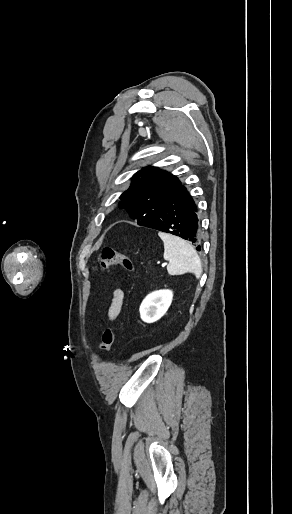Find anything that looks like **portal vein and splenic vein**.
<instances>
[{
    "mask_svg": "<svg viewBox=\"0 0 292 514\" xmlns=\"http://www.w3.org/2000/svg\"><path fill=\"white\" fill-rule=\"evenodd\" d=\"M164 266H167V264H162V268H164Z\"/></svg>",
    "mask_w": 292,
    "mask_h": 514,
    "instance_id": "18ae733b",
    "label": "portal vein and splenic vein"
}]
</instances>
